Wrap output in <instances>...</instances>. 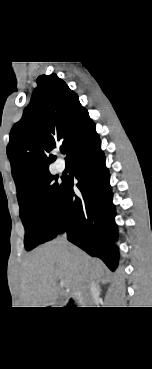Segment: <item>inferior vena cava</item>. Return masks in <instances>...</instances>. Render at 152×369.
<instances>
[{
	"instance_id": "inferior-vena-cava-1",
	"label": "inferior vena cava",
	"mask_w": 152,
	"mask_h": 369,
	"mask_svg": "<svg viewBox=\"0 0 152 369\" xmlns=\"http://www.w3.org/2000/svg\"><path fill=\"white\" fill-rule=\"evenodd\" d=\"M63 241L66 242V235H63L61 237ZM83 294L85 296V299L87 301H91L93 295L98 294V285L95 281H90L84 288Z\"/></svg>"
}]
</instances>
